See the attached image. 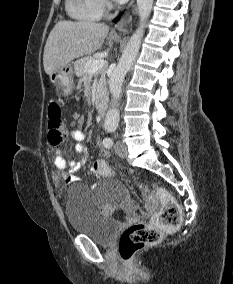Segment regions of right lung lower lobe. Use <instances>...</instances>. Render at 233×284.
I'll return each mask as SVG.
<instances>
[{
    "instance_id": "1",
    "label": "right lung lower lobe",
    "mask_w": 233,
    "mask_h": 284,
    "mask_svg": "<svg viewBox=\"0 0 233 284\" xmlns=\"http://www.w3.org/2000/svg\"><path fill=\"white\" fill-rule=\"evenodd\" d=\"M120 16H118L114 21L117 22L119 20Z\"/></svg>"
}]
</instances>
